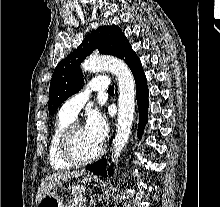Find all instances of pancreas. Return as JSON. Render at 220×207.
<instances>
[{
    "label": "pancreas",
    "mask_w": 220,
    "mask_h": 207,
    "mask_svg": "<svg viewBox=\"0 0 220 207\" xmlns=\"http://www.w3.org/2000/svg\"><path fill=\"white\" fill-rule=\"evenodd\" d=\"M65 207H86V205L84 201L71 200L68 202V204Z\"/></svg>",
    "instance_id": "1"
}]
</instances>
